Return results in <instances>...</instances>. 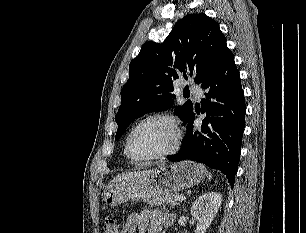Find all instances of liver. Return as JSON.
I'll list each match as a JSON object with an SVG mask.
<instances>
[{
    "label": "liver",
    "mask_w": 306,
    "mask_h": 233,
    "mask_svg": "<svg viewBox=\"0 0 306 233\" xmlns=\"http://www.w3.org/2000/svg\"><path fill=\"white\" fill-rule=\"evenodd\" d=\"M152 171V170H150ZM150 171H137V172H126V173H122V174H119L117 175L115 178H113L112 182H116V181H121V180H124V179H129V178H133L139 174H143V173H147V172H150Z\"/></svg>",
    "instance_id": "1"
}]
</instances>
